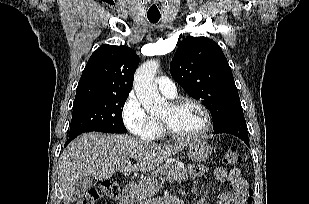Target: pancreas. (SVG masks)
Listing matches in <instances>:
<instances>
[{
  "label": "pancreas",
  "mask_w": 309,
  "mask_h": 204,
  "mask_svg": "<svg viewBox=\"0 0 309 204\" xmlns=\"http://www.w3.org/2000/svg\"><path fill=\"white\" fill-rule=\"evenodd\" d=\"M162 173L164 179L173 180L176 182H184L188 179L187 171L174 164H169L164 168H159L156 172H153L150 176L145 177L139 181L135 188V197L139 200V204H144L143 200L153 196L158 189L157 177Z\"/></svg>",
  "instance_id": "1"
}]
</instances>
